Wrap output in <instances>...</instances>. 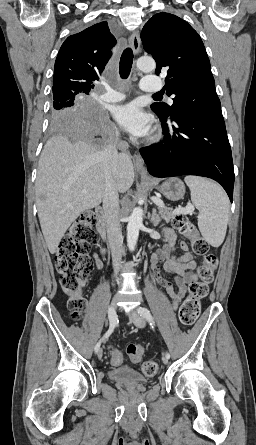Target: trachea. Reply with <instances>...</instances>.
Here are the masks:
<instances>
[{
  "mask_svg": "<svg viewBox=\"0 0 256 445\" xmlns=\"http://www.w3.org/2000/svg\"><path fill=\"white\" fill-rule=\"evenodd\" d=\"M132 63H133V51L131 48H126L123 53L122 56L120 58V77L122 79H127L131 68H132ZM154 97H162V94L156 93L153 95Z\"/></svg>",
  "mask_w": 256,
  "mask_h": 445,
  "instance_id": "obj_1",
  "label": "trachea"
}]
</instances>
